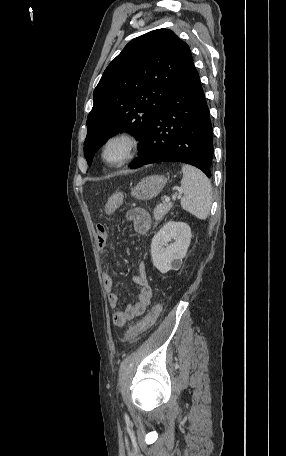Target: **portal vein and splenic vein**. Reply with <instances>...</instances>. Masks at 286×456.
I'll use <instances>...</instances> for the list:
<instances>
[{"mask_svg":"<svg viewBox=\"0 0 286 456\" xmlns=\"http://www.w3.org/2000/svg\"><path fill=\"white\" fill-rule=\"evenodd\" d=\"M178 197H179V198L181 197V193L179 194ZM169 201H170V198H169V197H166V198H165V202H169Z\"/></svg>","mask_w":286,"mask_h":456,"instance_id":"obj_1","label":"portal vein and splenic vein"}]
</instances>
